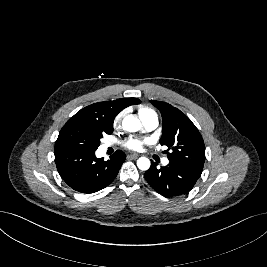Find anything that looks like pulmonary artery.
Wrapping results in <instances>:
<instances>
[{
    "mask_svg": "<svg viewBox=\"0 0 267 267\" xmlns=\"http://www.w3.org/2000/svg\"><path fill=\"white\" fill-rule=\"evenodd\" d=\"M142 122H143V125H144V127H145V129L147 131L154 130L155 128H157V126L159 124V120H158V117H157L156 114H152V115L143 117L142 118ZM108 146H110L109 143H106L104 145L105 148H107ZM168 163H169V159L168 158H163L162 159V164L163 165H167Z\"/></svg>",
    "mask_w": 267,
    "mask_h": 267,
    "instance_id": "pulmonary-artery-1",
    "label": "pulmonary artery"
}]
</instances>
